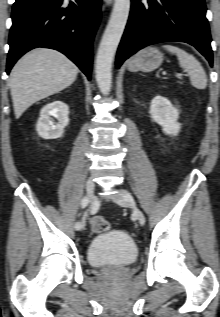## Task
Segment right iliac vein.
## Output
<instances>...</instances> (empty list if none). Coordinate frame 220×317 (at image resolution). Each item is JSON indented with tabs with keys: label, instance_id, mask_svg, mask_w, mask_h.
I'll list each match as a JSON object with an SVG mask.
<instances>
[{
	"label": "right iliac vein",
	"instance_id": "right-iliac-vein-1",
	"mask_svg": "<svg viewBox=\"0 0 220 317\" xmlns=\"http://www.w3.org/2000/svg\"><path fill=\"white\" fill-rule=\"evenodd\" d=\"M86 192H87V195H88V200L89 202L92 201V197H93V193H94V189H95V184H94V181L92 178H89L87 181H86ZM85 226V219L82 220L81 222V229H83Z\"/></svg>",
	"mask_w": 220,
	"mask_h": 317
}]
</instances>
